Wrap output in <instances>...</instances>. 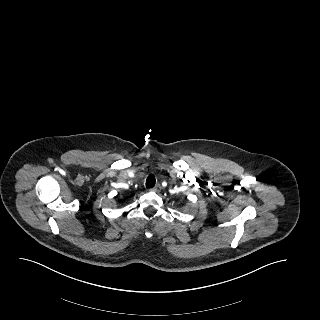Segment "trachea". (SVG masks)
<instances>
[{
	"instance_id": "obj_1",
	"label": "trachea",
	"mask_w": 320,
	"mask_h": 320,
	"mask_svg": "<svg viewBox=\"0 0 320 320\" xmlns=\"http://www.w3.org/2000/svg\"><path fill=\"white\" fill-rule=\"evenodd\" d=\"M156 179L153 175L148 176L146 180V187L153 188L155 186Z\"/></svg>"
}]
</instances>
